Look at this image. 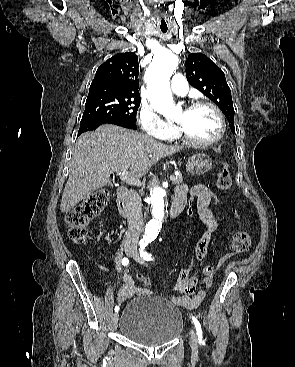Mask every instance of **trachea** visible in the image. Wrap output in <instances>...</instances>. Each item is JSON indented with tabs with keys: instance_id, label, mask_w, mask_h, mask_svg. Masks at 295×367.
Segmentation results:
<instances>
[{
	"instance_id": "obj_1",
	"label": "trachea",
	"mask_w": 295,
	"mask_h": 367,
	"mask_svg": "<svg viewBox=\"0 0 295 367\" xmlns=\"http://www.w3.org/2000/svg\"><path fill=\"white\" fill-rule=\"evenodd\" d=\"M167 30H168L167 26H166V27H162V26H161V31H162L163 33H166V32H167Z\"/></svg>"
}]
</instances>
